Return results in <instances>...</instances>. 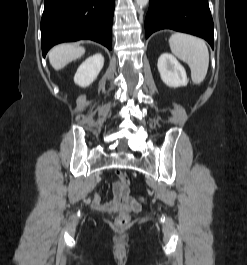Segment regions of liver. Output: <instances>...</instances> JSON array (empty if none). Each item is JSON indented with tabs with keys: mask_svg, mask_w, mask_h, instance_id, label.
<instances>
[{
	"mask_svg": "<svg viewBox=\"0 0 247 265\" xmlns=\"http://www.w3.org/2000/svg\"><path fill=\"white\" fill-rule=\"evenodd\" d=\"M85 53L84 47L73 44H60L49 52V61L55 70L64 68L68 63L80 58Z\"/></svg>",
	"mask_w": 247,
	"mask_h": 265,
	"instance_id": "obj_1",
	"label": "liver"
}]
</instances>
